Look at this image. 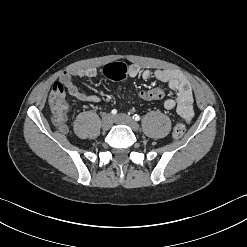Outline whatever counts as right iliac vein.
Instances as JSON below:
<instances>
[{
	"mask_svg": "<svg viewBox=\"0 0 247 247\" xmlns=\"http://www.w3.org/2000/svg\"><path fill=\"white\" fill-rule=\"evenodd\" d=\"M113 124V116L111 114H104L101 120V127L103 130H109Z\"/></svg>",
	"mask_w": 247,
	"mask_h": 247,
	"instance_id": "1",
	"label": "right iliac vein"
}]
</instances>
